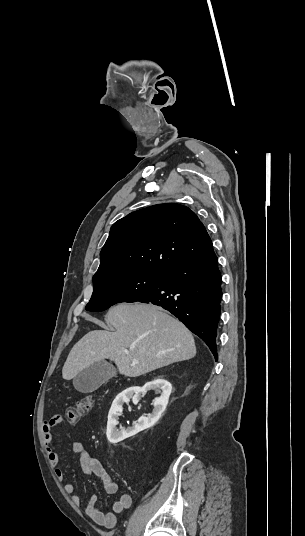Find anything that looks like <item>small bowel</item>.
<instances>
[{
	"instance_id": "small-bowel-1",
	"label": "small bowel",
	"mask_w": 305,
	"mask_h": 536,
	"mask_svg": "<svg viewBox=\"0 0 305 536\" xmlns=\"http://www.w3.org/2000/svg\"><path fill=\"white\" fill-rule=\"evenodd\" d=\"M49 419L44 420L42 430L43 434V443L45 450L50 461L51 466L54 468L55 477L62 481L64 479V472L60 468V459L57 452L52 448L54 434L52 432L53 428L56 427V420L61 419L60 413L54 414V419L51 418V415H48ZM72 452L79 457L80 465L82 472L85 475L94 474L97 476L104 487V490L108 494H115L118 489V483L116 480L112 479L109 474L106 472L102 463L92 457L88 451L85 449V446L81 442H74L71 446ZM64 491L66 494L71 496L72 502L79 506L81 504V497L75 494V486L72 483H66L64 485ZM132 505V497L129 493L123 492L117 500L112 504V511L103 512L99 509L97 505V496L92 495L88 499L86 504L85 513L86 515L93 520L96 524L103 526L105 528H113L117 522V514L123 513Z\"/></svg>"
}]
</instances>
